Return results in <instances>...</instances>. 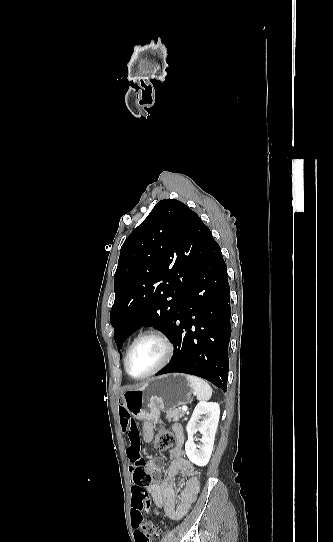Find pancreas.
I'll return each instance as SVG.
<instances>
[{
    "mask_svg": "<svg viewBox=\"0 0 333 542\" xmlns=\"http://www.w3.org/2000/svg\"><path fill=\"white\" fill-rule=\"evenodd\" d=\"M185 412L183 410H167L166 418L167 420H172V422H179L180 418H183Z\"/></svg>",
    "mask_w": 333,
    "mask_h": 542,
    "instance_id": "cf45deb5",
    "label": "pancreas"
}]
</instances>
